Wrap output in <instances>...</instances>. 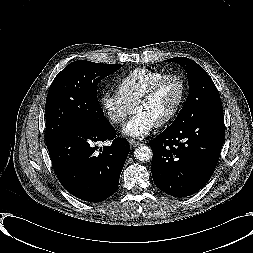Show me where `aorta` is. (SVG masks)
Here are the masks:
<instances>
[{
	"label": "aorta",
	"instance_id": "aorta-1",
	"mask_svg": "<svg viewBox=\"0 0 253 253\" xmlns=\"http://www.w3.org/2000/svg\"><path fill=\"white\" fill-rule=\"evenodd\" d=\"M152 150L150 147L141 145L138 148L135 149L134 151V156L136 157L137 160L141 162H147L150 159H152Z\"/></svg>",
	"mask_w": 253,
	"mask_h": 253
}]
</instances>
